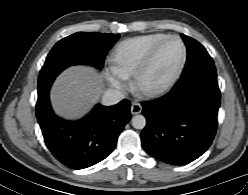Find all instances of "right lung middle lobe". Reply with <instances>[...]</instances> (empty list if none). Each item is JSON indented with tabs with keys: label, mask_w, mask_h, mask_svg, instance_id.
Segmentation results:
<instances>
[{
	"label": "right lung middle lobe",
	"mask_w": 248,
	"mask_h": 195,
	"mask_svg": "<svg viewBox=\"0 0 248 195\" xmlns=\"http://www.w3.org/2000/svg\"><path fill=\"white\" fill-rule=\"evenodd\" d=\"M118 34L77 32L58 41L40 71L38 84L55 78L71 65L86 64L101 69Z\"/></svg>",
	"instance_id": "1"
}]
</instances>
